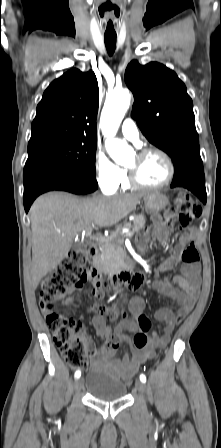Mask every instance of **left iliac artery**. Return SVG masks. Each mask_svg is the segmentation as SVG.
Wrapping results in <instances>:
<instances>
[{
	"label": "left iliac artery",
	"mask_w": 221,
	"mask_h": 448,
	"mask_svg": "<svg viewBox=\"0 0 221 448\" xmlns=\"http://www.w3.org/2000/svg\"><path fill=\"white\" fill-rule=\"evenodd\" d=\"M140 380H141L143 383H145V382H146V376L143 375V374H141V375H140Z\"/></svg>",
	"instance_id": "left-iliac-artery-1"
}]
</instances>
